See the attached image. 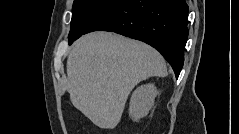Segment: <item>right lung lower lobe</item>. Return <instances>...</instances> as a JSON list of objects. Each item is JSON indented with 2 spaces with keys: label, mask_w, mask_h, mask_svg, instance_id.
Masks as SVG:
<instances>
[{
  "label": "right lung lower lobe",
  "mask_w": 239,
  "mask_h": 134,
  "mask_svg": "<svg viewBox=\"0 0 239 134\" xmlns=\"http://www.w3.org/2000/svg\"><path fill=\"white\" fill-rule=\"evenodd\" d=\"M185 0H119L84 31H111L157 49L178 78L188 37Z\"/></svg>",
  "instance_id": "98d812e1"
}]
</instances>
